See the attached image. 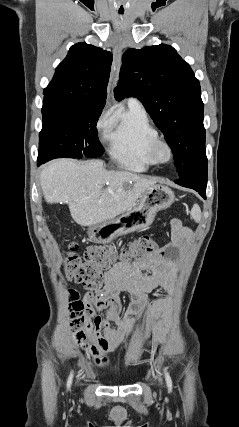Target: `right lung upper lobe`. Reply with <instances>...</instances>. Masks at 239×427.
Instances as JSON below:
<instances>
[{"mask_svg":"<svg viewBox=\"0 0 239 427\" xmlns=\"http://www.w3.org/2000/svg\"><path fill=\"white\" fill-rule=\"evenodd\" d=\"M112 53L87 43L73 45L44 89L43 102L103 108Z\"/></svg>","mask_w":239,"mask_h":427,"instance_id":"cb5924a9","label":"right lung upper lobe"}]
</instances>
